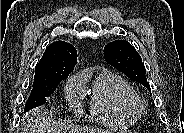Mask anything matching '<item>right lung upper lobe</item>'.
Instances as JSON below:
<instances>
[{
	"instance_id": "right-lung-upper-lobe-1",
	"label": "right lung upper lobe",
	"mask_w": 184,
	"mask_h": 133,
	"mask_svg": "<svg viewBox=\"0 0 184 133\" xmlns=\"http://www.w3.org/2000/svg\"><path fill=\"white\" fill-rule=\"evenodd\" d=\"M77 63V51L72 44L56 41L50 44L35 66L33 86H44L56 78L66 79Z\"/></svg>"
}]
</instances>
